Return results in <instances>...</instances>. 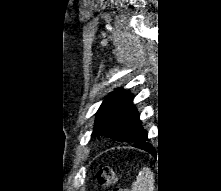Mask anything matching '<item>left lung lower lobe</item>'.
<instances>
[{"instance_id":"left-lung-lower-lobe-1","label":"left lung lower lobe","mask_w":221,"mask_h":191,"mask_svg":"<svg viewBox=\"0 0 221 191\" xmlns=\"http://www.w3.org/2000/svg\"><path fill=\"white\" fill-rule=\"evenodd\" d=\"M131 104H132V103H131ZM131 110H132V114H133L132 117L134 118V121L140 122V125L142 126V123H141V121H140V119H139V113L136 111V108H135L134 105H132ZM142 128H143V127H142ZM144 131H145V130H144ZM145 132H146V131H145ZM146 135H147V132H146ZM147 136H148V135H147ZM140 149H141V148H140ZM142 149L151 151V150H152V146H149V147L145 146V147L142 148Z\"/></svg>"}]
</instances>
